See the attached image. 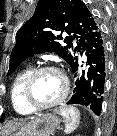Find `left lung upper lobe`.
I'll list each match as a JSON object with an SVG mask.
<instances>
[{
	"instance_id": "1",
	"label": "left lung upper lobe",
	"mask_w": 117,
	"mask_h": 136,
	"mask_svg": "<svg viewBox=\"0 0 117 136\" xmlns=\"http://www.w3.org/2000/svg\"><path fill=\"white\" fill-rule=\"evenodd\" d=\"M97 30V20L81 0H39L33 16L16 34L8 75L27 57L43 52H55L71 66L87 36ZM59 31L68 36L63 38ZM75 38L77 46H73Z\"/></svg>"
}]
</instances>
